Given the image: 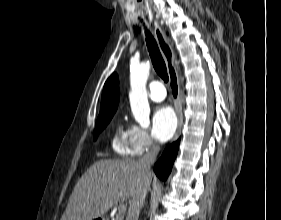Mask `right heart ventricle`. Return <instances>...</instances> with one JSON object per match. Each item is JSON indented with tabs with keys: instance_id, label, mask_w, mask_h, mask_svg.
<instances>
[{
	"instance_id": "e07e8e85",
	"label": "right heart ventricle",
	"mask_w": 281,
	"mask_h": 220,
	"mask_svg": "<svg viewBox=\"0 0 281 220\" xmlns=\"http://www.w3.org/2000/svg\"><path fill=\"white\" fill-rule=\"evenodd\" d=\"M111 145L113 150L122 156H133L138 154L131 142L130 128H124L121 123L116 127Z\"/></svg>"
}]
</instances>
